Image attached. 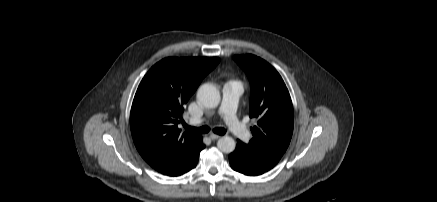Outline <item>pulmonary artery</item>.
<instances>
[{"instance_id":"pulmonary-artery-1","label":"pulmonary artery","mask_w":437,"mask_h":202,"mask_svg":"<svg viewBox=\"0 0 437 202\" xmlns=\"http://www.w3.org/2000/svg\"><path fill=\"white\" fill-rule=\"evenodd\" d=\"M242 92L243 86L239 81L227 82L223 86V97L219 113L223 116L230 131L239 139L246 141L251 137V133L236 115L238 100ZM203 121V119H197L193 123L199 124Z\"/></svg>"}]
</instances>
